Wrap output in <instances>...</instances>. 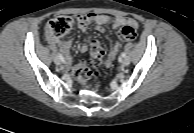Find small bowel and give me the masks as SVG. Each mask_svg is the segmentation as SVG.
<instances>
[{
    "mask_svg": "<svg viewBox=\"0 0 194 133\" xmlns=\"http://www.w3.org/2000/svg\"><path fill=\"white\" fill-rule=\"evenodd\" d=\"M75 19L81 30H86L88 26L92 23L95 24V28L99 32H104L106 25H111L113 28L130 26V27H133L135 30L138 27L137 22L134 19L128 18V17H112L109 15H103V14L87 13V14L77 15ZM47 38L49 41L57 44L60 47L66 59V68L69 69L71 42L68 40H56L50 37H47ZM93 45H99V42L96 40L92 41L90 46L92 47ZM88 48H89L88 45L83 44L80 46V51L86 52ZM119 49H120V44L118 42L110 48L106 59V66L108 67L111 66L112 62L114 61V59L116 58L119 52Z\"/></svg>",
    "mask_w": 194,
    "mask_h": 133,
    "instance_id": "obj_1",
    "label": "small bowel"
}]
</instances>
